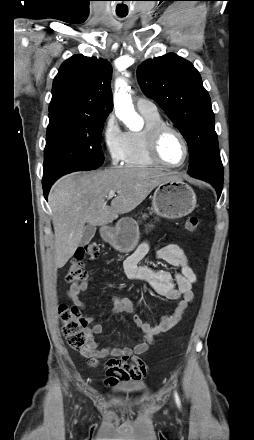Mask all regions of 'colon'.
<instances>
[{
	"mask_svg": "<svg viewBox=\"0 0 254 440\" xmlns=\"http://www.w3.org/2000/svg\"><path fill=\"white\" fill-rule=\"evenodd\" d=\"M199 219L191 215L186 220V229L194 232L197 230ZM100 254V246L91 242L79 247L73 257L72 264L66 275V281L71 284L87 281L88 273L83 269L86 259H95ZM63 323V335L69 347L75 350H83L86 347L88 333V318L83 316L75 306L61 305L59 308Z\"/></svg>",
	"mask_w": 254,
	"mask_h": 440,
	"instance_id": "obj_1",
	"label": "colon"
}]
</instances>
